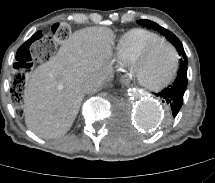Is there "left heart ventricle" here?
<instances>
[{
    "label": "left heart ventricle",
    "instance_id": "left-heart-ventricle-1",
    "mask_svg": "<svg viewBox=\"0 0 215 183\" xmlns=\"http://www.w3.org/2000/svg\"><path fill=\"white\" fill-rule=\"evenodd\" d=\"M174 63L173 50L167 44H159L138 65L139 79L145 85H158L170 76Z\"/></svg>",
    "mask_w": 215,
    "mask_h": 183
}]
</instances>
